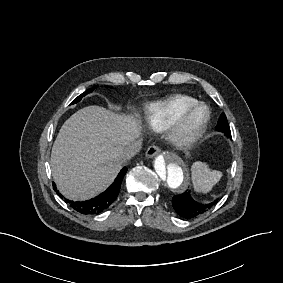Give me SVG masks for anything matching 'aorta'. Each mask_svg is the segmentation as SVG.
Instances as JSON below:
<instances>
[{
  "mask_svg": "<svg viewBox=\"0 0 283 283\" xmlns=\"http://www.w3.org/2000/svg\"><path fill=\"white\" fill-rule=\"evenodd\" d=\"M154 172L163 190L182 192L188 182L187 168L183 160L172 152H164L154 161Z\"/></svg>",
  "mask_w": 283,
  "mask_h": 283,
  "instance_id": "aorta-1",
  "label": "aorta"
}]
</instances>
